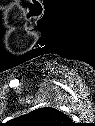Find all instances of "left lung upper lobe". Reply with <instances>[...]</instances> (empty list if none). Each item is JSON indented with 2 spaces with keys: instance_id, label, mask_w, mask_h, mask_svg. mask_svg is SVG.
Listing matches in <instances>:
<instances>
[{
  "instance_id": "left-lung-upper-lobe-1",
  "label": "left lung upper lobe",
  "mask_w": 95,
  "mask_h": 126,
  "mask_svg": "<svg viewBox=\"0 0 95 126\" xmlns=\"http://www.w3.org/2000/svg\"><path fill=\"white\" fill-rule=\"evenodd\" d=\"M17 122L22 126H67L69 118L55 108L44 107L18 117Z\"/></svg>"
}]
</instances>
